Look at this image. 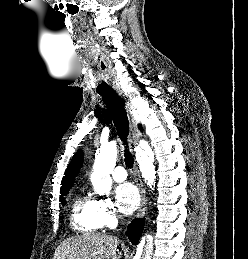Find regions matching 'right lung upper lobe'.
Masks as SVG:
<instances>
[{
	"label": "right lung upper lobe",
	"instance_id": "obj_1",
	"mask_svg": "<svg viewBox=\"0 0 248 259\" xmlns=\"http://www.w3.org/2000/svg\"><path fill=\"white\" fill-rule=\"evenodd\" d=\"M139 129L142 130V127L139 126ZM83 163V152L79 150L71 160L68 168L66 169L65 176L62 179L61 191L70 190L73 185L74 179L77 176Z\"/></svg>",
	"mask_w": 248,
	"mask_h": 259
}]
</instances>
